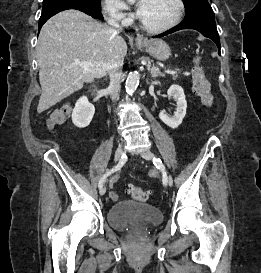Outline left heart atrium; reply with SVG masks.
<instances>
[{
	"label": "left heart atrium",
	"instance_id": "obj_1",
	"mask_svg": "<svg viewBox=\"0 0 261 273\" xmlns=\"http://www.w3.org/2000/svg\"><path fill=\"white\" fill-rule=\"evenodd\" d=\"M140 12V7L138 6V13Z\"/></svg>",
	"mask_w": 261,
	"mask_h": 273
}]
</instances>
